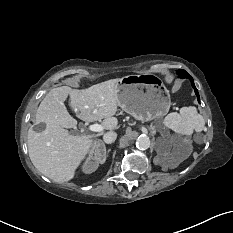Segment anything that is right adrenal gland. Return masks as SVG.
I'll return each instance as SVG.
<instances>
[{
  "label": "right adrenal gland",
  "mask_w": 233,
  "mask_h": 233,
  "mask_svg": "<svg viewBox=\"0 0 233 233\" xmlns=\"http://www.w3.org/2000/svg\"><path fill=\"white\" fill-rule=\"evenodd\" d=\"M102 144L104 145V143L102 142ZM104 151H105V154L107 153H109L110 151H111V149H108L107 151L105 150V148H104Z\"/></svg>",
  "instance_id": "1"
}]
</instances>
